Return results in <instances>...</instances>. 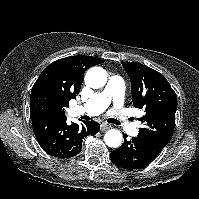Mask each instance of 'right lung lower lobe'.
Returning a JSON list of instances; mask_svg holds the SVG:
<instances>
[{"label": "right lung lower lobe", "instance_id": "1", "mask_svg": "<svg viewBox=\"0 0 199 199\" xmlns=\"http://www.w3.org/2000/svg\"><path fill=\"white\" fill-rule=\"evenodd\" d=\"M32 126L42 149L61 159L77 155L81 151L83 139L100 130V125L95 121L68 125L66 118L49 115L33 117Z\"/></svg>", "mask_w": 199, "mask_h": 199}]
</instances>
